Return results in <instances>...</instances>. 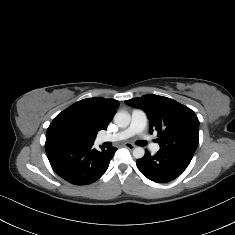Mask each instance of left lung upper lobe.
<instances>
[{
	"label": "left lung upper lobe",
	"instance_id": "1",
	"mask_svg": "<svg viewBox=\"0 0 235 235\" xmlns=\"http://www.w3.org/2000/svg\"><path fill=\"white\" fill-rule=\"evenodd\" d=\"M144 110L150 133L158 132L160 149L192 158L198 145L199 120L194 111L177 101L154 94L126 100Z\"/></svg>",
	"mask_w": 235,
	"mask_h": 235
}]
</instances>
